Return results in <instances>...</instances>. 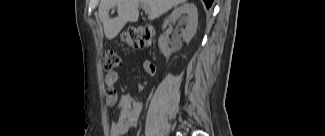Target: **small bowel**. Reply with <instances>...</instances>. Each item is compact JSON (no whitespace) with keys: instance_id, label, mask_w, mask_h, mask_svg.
Returning a JSON list of instances; mask_svg holds the SVG:
<instances>
[{"instance_id":"small-bowel-1","label":"small bowel","mask_w":325,"mask_h":136,"mask_svg":"<svg viewBox=\"0 0 325 136\" xmlns=\"http://www.w3.org/2000/svg\"><path fill=\"white\" fill-rule=\"evenodd\" d=\"M143 68L150 76H155L157 73V67L151 61H144ZM118 78V72H111L105 75V84L108 87L106 92V104L108 106H115L117 114L116 120L112 121L110 125L111 136L126 135L132 128L136 127L143 109L142 102L131 94L123 93L118 98L114 90Z\"/></svg>"}]
</instances>
